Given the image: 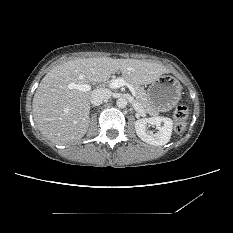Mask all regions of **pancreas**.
<instances>
[{
	"mask_svg": "<svg viewBox=\"0 0 233 233\" xmlns=\"http://www.w3.org/2000/svg\"><path fill=\"white\" fill-rule=\"evenodd\" d=\"M124 79V77H123ZM127 83H130L134 88H135V91H136V101L143 107L145 108V110L149 113V114H152V115H156L157 114V111L153 109V107L150 105L149 101H148V98H147V93L146 91L144 90L143 87H141L139 84H135L131 81H128L126 79H124Z\"/></svg>",
	"mask_w": 233,
	"mask_h": 233,
	"instance_id": "cf45deb5",
	"label": "pancreas"
}]
</instances>
